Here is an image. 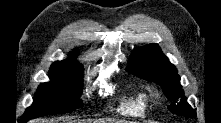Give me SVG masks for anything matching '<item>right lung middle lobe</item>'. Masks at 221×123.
Returning a JSON list of instances; mask_svg holds the SVG:
<instances>
[{
	"label": "right lung middle lobe",
	"instance_id": "obj_1",
	"mask_svg": "<svg viewBox=\"0 0 221 123\" xmlns=\"http://www.w3.org/2000/svg\"><path fill=\"white\" fill-rule=\"evenodd\" d=\"M50 82L40 84L33 105L26 109L25 118L68 113L81 107L77 99L82 91L83 71L70 66H51Z\"/></svg>",
	"mask_w": 221,
	"mask_h": 123
}]
</instances>
